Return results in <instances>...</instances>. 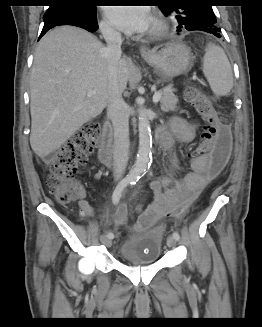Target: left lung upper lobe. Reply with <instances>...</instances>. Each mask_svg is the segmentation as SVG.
Returning a JSON list of instances; mask_svg holds the SVG:
<instances>
[{"mask_svg":"<svg viewBox=\"0 0 262 327\" xmlns=\"http://www.w3.org/2000/svg\"><path fill=\"white\" fill-rule=\"evenodd\" d=\"M186 1H177V3ZM160 10L166 17H171L177 23V31L199 30L212 34L220 33L217 20L210 5H162Z\"/></svg>","mask_w":262,"mask_h":327,"instance_id":"5c2ea615","label":"left lung upper lobe"}]
</instances>
